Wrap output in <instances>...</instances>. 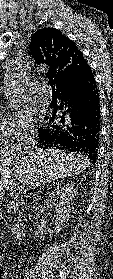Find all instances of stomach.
<instances>
[{
	"mask_svg": "<svg viewBox=\"0 0 113 279\" xmlns=\"http://www.w3.org/2000/svg\"><path fill=\"white\" fill-rule=\"evenodd\" d=\"M1 203H2V200H1V198H0V205H1Z\"/></svg>",
	"mask_w": 113,
	"mask_h": 279,
	"instance_id": "stomach-1",
	"label": "stomach"
}]
</instances>
